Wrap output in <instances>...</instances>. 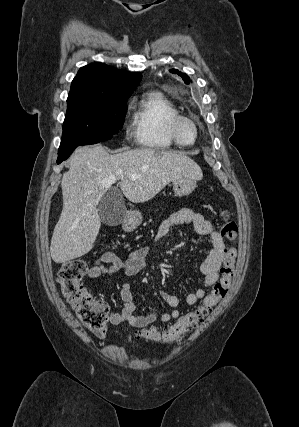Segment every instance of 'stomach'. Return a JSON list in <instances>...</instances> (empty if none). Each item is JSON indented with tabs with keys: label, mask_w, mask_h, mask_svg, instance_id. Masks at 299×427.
Listing matches in <instances>:
<instances>
[{
	"label": "stomach",
	"mask_w": 299,
	"mask_h": 427,
	"mask_svg": "<svg viewBox=\"0 0 299 427\" xmlns=\"http://www.w3.org/2000/svg\"><path fill=\"white\" fill-rule=\"evenodd\" d=\"M196 188V179L183 177L173 181V190L177 197L190 195ZM143 221V217L139 211H134L125 221L127 230L136 229Z\"/></svg>",
	"instance_id": "1"
}]
</instances>
